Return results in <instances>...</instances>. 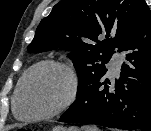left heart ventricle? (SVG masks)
<instances>
[{
	"instance_id": "left-heart-ventricle-1",
	"label": "left heart ventricle",
	"mask_w": 151,
	"mask_h": 131,
	"mask_svg": "<svg viewBox=\"0 0 151 131\" xmlns=\"http://www.w3.org/2000/svg\"><path fill=\"white\" fill-rule=\"evenodd\" d=\"M67 88V78L59 69L48 67L34 72L20 97V112L37 115L53 110L64 99Z\"/></svg>"
}]
</instances>
